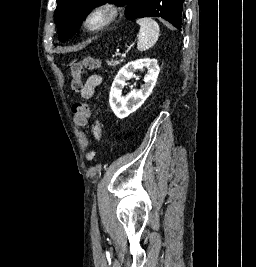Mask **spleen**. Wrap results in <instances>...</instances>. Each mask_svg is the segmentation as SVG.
<instances>
[{
	"label": "spleen",
	"instance_id": "obj_1",
	"mask_svg": "<svg viewBox=\"0 0 256 267\" xmlns=\"http://www.w3.org/2000/svg\"><path fill=\"white\" fill-rule=\"evenodd\" d=\"M136 24L140 26L137 36V48L139 52H146L156 44L160 36V28L152 18H140V20H136Z\"/></svg>",
	"mask_w": 256,
	"mask_h": 267
}]
</instances>
